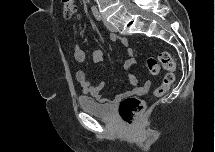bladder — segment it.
I'll return each instance as SVG.
<instances>
[{"mask_svg": "<svg viewBox=\"0 0 215 152\" xmlns=\"http://www.w3.org/2000/svg\"><path fill=\"white\" fill-rule=\"evenodd\" d=\"M79 105L83 111L103 119H112L115 115L114 107L110 103H101L92 98L81 97Z\"/></svg>", "mask_w": 215, "mask_h": 152, "instance_id": "31cf9c89", "label": "bladder"}]
</instances>
